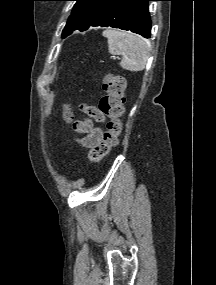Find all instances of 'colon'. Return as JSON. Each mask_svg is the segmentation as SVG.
<instances>
[{"mask_svg":"<svg viewBox=\"0 0 216 285\" xmlns=\"http://www.w3.org/2000/svg\"><path fill=\"white\" fill-rule=\"evenodd\" d=\"M126 82L122 76L111 73L103 77L104 95L100 100L99 111L109 118L107 128L100 141L91 147L88 160L93 163L101 161L110 151L118 145L122 133L121 117L124 113ZM72 114L68 108L64 111V118L71 119Z\"/></svg>","mask_w":216,"mask_h":285,"instance_id":"obj_1","label":"colon"}]
</instances>
